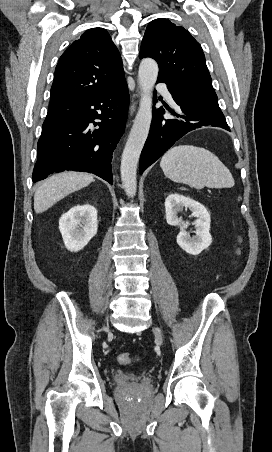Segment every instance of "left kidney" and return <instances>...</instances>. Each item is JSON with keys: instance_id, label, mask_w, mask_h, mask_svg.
Wrapping results in <instances>:
<instances>
[{"instance_id": "5707ae66", "label": "left kidney", "mask_w": 272, "mask_h": 452, "mask_svg": "<svg viewBox=\"0 0 272 452\" xmlns=\"http://www.w3.org/2000/svg\"><path fill=\"white\" fill-rule=\"evenodd\" d=\"M184 207L191 210L192 216L197 218L193 223L196 228L195 236L193 237L186 231L189 222H184L178 217V213ZM165 211L167 223L180 227V232L177 235V243L188 254L198 255L211 245L212 237L209 233L210 214L201 203L184 195L172 193L165 200Z\"/></svg>"}]
</instances>
